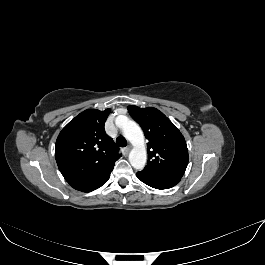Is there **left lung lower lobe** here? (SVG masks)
<instances>
[{"label":"left lung lower lobe","mask_w":265,"mask_h":265,"mask_svg":"<svg viewBox=\"0 0 265 265\" xmlns=\"http://www.w3.org/2000/svg\"><path fill=\"white\" fill-rule=\"evenodd\" d=\"M136 176L141 180L143 183L147 184L150 187L156 188V189H168L176 184L179 183L181 178L176 177H165V176H159V175H151L144 173L142 171L137 172Z\"/></svg>","instance_id":"obj_1"}]
</instances>
